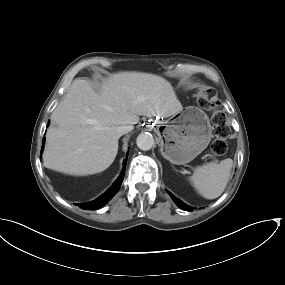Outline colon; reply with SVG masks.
<instances>
[{
	"label": "colon",
	"instance_id": "1",
	"mask_svg": "<svg viewBox=\"0 0 285 285\" xmlns=\"http://www.w3.org/2000/svg\"><path fill=\"white\" fill-rule=\"evenodd\" d=\"M210 90L204 91L199 97L198 104L201 108L211 111V122L214 126L216 139L212 143V150L216 154H223L227 149L226 134L227 130L225 127V115L220 111L217 103H213L210 100Z\"/></svg>",
	"mask_w": 285,
	"mask_h": 285
}]
</instances>
